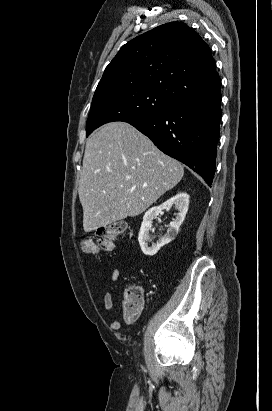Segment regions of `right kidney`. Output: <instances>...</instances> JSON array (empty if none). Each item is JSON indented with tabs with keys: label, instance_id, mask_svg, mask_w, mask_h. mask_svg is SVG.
Segmentation results:
<instances>
[{
	"label": "right kidney",
	"instance_id": "ca27d5eb",
	"mask_svg": "<svg viewBox=\"0 0 272 411\" xmlns=\"http://www.w3.org/2000/svg\"><path fill=\"white\" fill-rule=\"evenodd\" d=\"M171 206H174L178 211L176 214V219L170 223L169 228L164 236L161 237L156 244L148 246L149 241V231L152 227V221L161 213L162 210H168ZM189 206V195L185 192H179L172 198L163 202L160 206H155L150 208L144 215L141 224L138 241L142 252L145 255L153 256L159 249L175 239L178 234L179 228L183 223Z\"/></svg>",
	"mask_w": 272,
	"mask_h": 411
}]
</instances>
